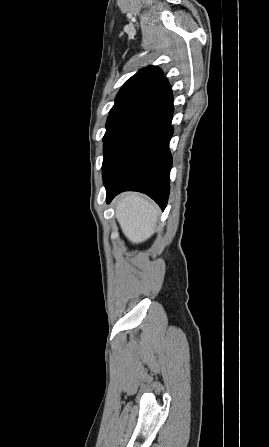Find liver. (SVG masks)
<instances>
[{
	"label": "liver",
	"instance_id": "6515ba94",
	"mask_svg": "<svg viewBox=\"0 0 269 447\" xmlns=\"http://www.w3.org/2000/svg\"><path fill=\"white\" fill-rule=\"evenodd\" d=\"M158 214V208L140 194H122L116 202L115 216L133 243L145 241L154 233Z\"/></svg>",
	"mask_w": 269,
	"mask_h": 447
}]
</instances>
